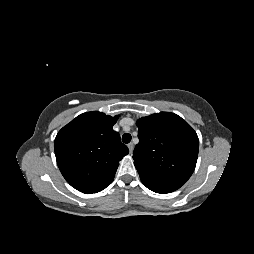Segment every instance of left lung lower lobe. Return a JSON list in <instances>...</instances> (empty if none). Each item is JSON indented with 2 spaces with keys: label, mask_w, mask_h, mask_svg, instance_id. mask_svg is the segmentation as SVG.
Returning a JSON list of instances; mask_svg holds the SVG:
<instances>
[{
  "label": "left lung lower lobe",
  "mask_w": 254,
  "mask_h": 254,
  "mask_svg": "<svg viewBox=\"0 0 254 254\" xmlns=\"http://www.w3.org/2000/svg\"><path fill=\"white\" fill-rule=\"evenodd\" d=\"M142 183L151 191H154L156 193H170L173 192L177 189H179L181 186L171 184V183H166V182H161V181H156L148 178L141 177Z\"/></svg>",
  "instance_id": "1"
}]
</instances>
